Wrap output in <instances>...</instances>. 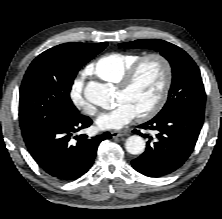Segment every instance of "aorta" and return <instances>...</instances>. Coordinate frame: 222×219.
Returning <instances> with one entry per match:
<instances>
[{
	"mask_svg": "<svg viewBox=\"0 0 222 219\" xmlns=\"http://www.w3.org/2000/svg\"><path fill=\"white\" fill-rule=\"evenodd\" d=\"M84 97L91 104L105 109L113 103L111 87L108 84L96 81H91L86 85ZM125 148L130 154H141L145 149V141L139 135H132L127 138Z\"/></svg>",
	"mask_w": 222,
	"mask_h": 219,
	"instance_id": "1",
	"label": "aorta"
}]
</instances>
